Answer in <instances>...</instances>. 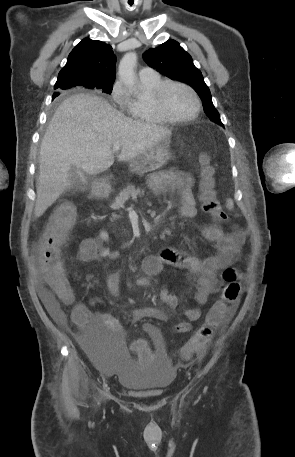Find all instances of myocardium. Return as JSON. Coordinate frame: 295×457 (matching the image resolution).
<instances>
[{"mask_svg": "<svg viewBox=\"0 0 295 457\" xmlns=\"http://www.w3.org/2000/svg\"><path fill=\"white\" fill-rule=\"evenodd\" d=\"M177 86L188 90L194 98L195 101V109L194 112L186 117H174L172 116L165 107V94L167 90L172 87ZM152 102L156 112L162 117L166 122L170 123H183L188 122L196 119L201 111V100L197 94V92L189 85L179 82V81H172L166 80L163 81L153 92L152 95Z\"/></svg>", "mask_w": 295, "mask_h": 457, "instance_id": "myocardium-1", "label": "myocardium"}]
</instances>
